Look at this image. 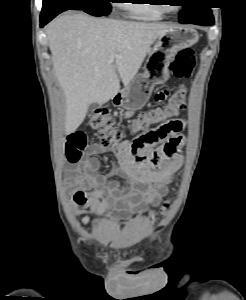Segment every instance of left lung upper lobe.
Masks as SVG:
<instances>
[{
  "label": "left lung upper lobe",
  "instance_id": "left-lung-upper-lobe-1",
  "mask_svg": "<svg viewBox=\"0 0 246 300\" xmlns=\"http://www.w3.org/2000/svg\"><path fill=\"white\" fill-rule=\"evenodd\" d=\"M188 4L183 6L179 14L180 23H189L211 13V9L203 4V0H185Z\"/></svg>",
  "mask_w": 246,
  "mask_h": 300
}]
</instances>
